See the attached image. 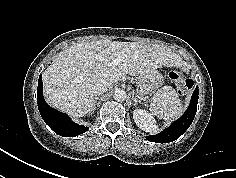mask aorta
Segmentation results:
<instances>
[{
	"label": "aorta",
	"instance_id": "obj_1",
	"mask_svg": "<svg viewBox=\"0 0 236 178\" xmlns=\"http://www.w3.org/2000/svg\"><path fill=\"white\" fill-rule=\"evenodd\" d=\"M113 97L116 101L120 102V101H124L126 99L127 95L124 90L117 89V90H115Z\"/></svg>",
	"mask_w": 236,
	"mask_h": 178
}]
</instances>
